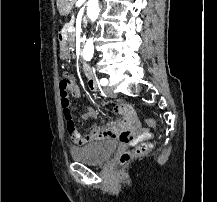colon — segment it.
<instances>
[{
    "label": "colon",
    "instance_id": "5ec220e1",
    "mask_svg": "<svg viewBox=\"0 0 217 202\" xmlns=\"http://www.w3.org/2000/svg\"><path fill=\"white\" fill-rule=\"evenodd\" d=\"M72 83L69 79H62L59 84L60 90V102L63 111V117L65 121V126L67 131H76L75 123L73 120V115L71 111V97H70V87ZM146 126H153V118H145ZM144 143H140L138 147L133 152H125L121 155V163H127L133 156H142L146 154L150 148V138H145Z\"/></svg>",
    "mask_w": 217,
    "mask_h": 202
}]
</instances>
